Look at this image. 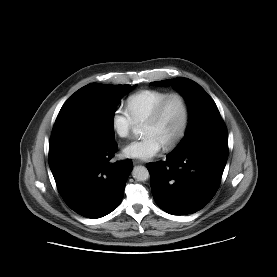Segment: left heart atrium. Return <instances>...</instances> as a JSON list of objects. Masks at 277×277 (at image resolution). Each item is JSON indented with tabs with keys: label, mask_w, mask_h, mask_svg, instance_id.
<instances>
[{
	"label": "left heart atrium",
	"mask_w": 277,
	"mask_h": 277,
	"mask_svg": "<svg viewBox=\"0 0 277 277\" xmlns=\"http://www.w3.org/2000/svg\"><path fill=\"white\" fill-rule=\"evenodd\" d=\"M163 144L152 134L144 135L141 139L134 140L123 148V153L128 158L148 160L157 155Z\"/></svg>",
	"instance_id": "left-heart-atrium-1"
}]
</instances>
